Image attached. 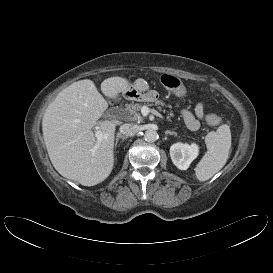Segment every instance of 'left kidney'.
Instances as JSON below:
<instances>
[{"label":"left kidney","instance_id":"left-kidney-1","mask_svg":"<svg viewBox=\"0 0 273 273\" xmlns=\"http://www.w3.org/2000/svg\"><path fill=\"white\" fill-rule=\"evenodd\" d=\"M199 147L192 143H175L170 147V157L174 165L180 170H186L191 162L197 157Z\"/></svg>","mask_w":273,"mask_h":273}]
</instances>
